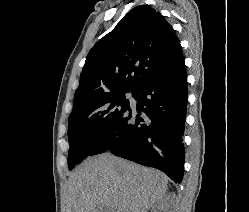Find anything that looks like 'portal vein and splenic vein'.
<instances>
[{
	"label": "portal vein and splenic vein",
	"mask_w": 249,
	"mask_h": 212,
	"mask_svg": "<svg viewBox=\"0 0 249 212\" xmlns=\"http://www.w3.org/2000/svg\"><path fill=\"white\" fill-rule=\"evenodd\" d=\"M108 212H112V208H108Z\"/></svg>",
	"instance_id": "1"
}]
</instances>
